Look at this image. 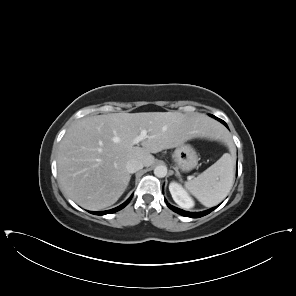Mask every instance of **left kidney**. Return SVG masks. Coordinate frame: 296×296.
<instances>
[{
  "mask_svg": "<svg viewBox=\"0 0 296 296\" xmlns=\"http://www.w3.org/2000/svg\"><path fill=\"white\" fill-rule=\"evenodd\" d=\"M169 191L175 203L178 204L180 207L184 209H189L194 206L193 199L180 183L172 181L169 184Z\"/></svg>",
  "mask_w": 296,
  "mask_h": 296,
  "instance_id": "5707ae66",
  "label": "left kidney"
}]
</instances>
